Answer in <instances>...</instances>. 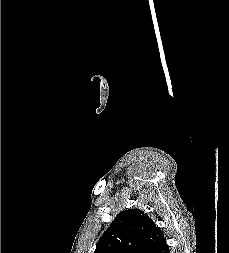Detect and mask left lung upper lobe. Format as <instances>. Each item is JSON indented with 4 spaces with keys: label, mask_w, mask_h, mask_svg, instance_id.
Returning <instances> with one entry per match:
<instances>
[{
    "label": "left lung upper lobe",
    "mask_w": 229,
    "mask_h": 253,
    "mask_svg": "<svg viewBox=\"0 0 229 253\" xmlns=\"http://www.w3.org/2000/svg\"><path fill=\"white\" fill-rule=\"evenodd\" d=\"M164 236L139 209L121 211L98 242L94 253H155Z\"/></svg>",
    "instance_id": "obj_1"
}]
</instances>
